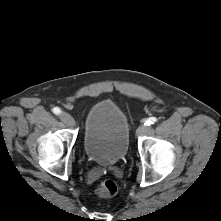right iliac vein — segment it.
I'll use <instances>...</instances> for the list:
<instances>
[{
	"instance_id": "right-iliac-vein-1",
	"label": "right iliac vein",
	"mask_w": 221,
	"mask_h": 221,
	"mask_svg": "<svg viewBox=\"0 0 221 221\" xmlns=\"http://www.w3.org/2000/svg\"><path fill=\"white\" fill-rule=\"evenodd\" d=\"M60 118L68 126L75 125V121H74L73 117L71 115H69L68 113H61Z\"/></svg>"
}]
</instances>
